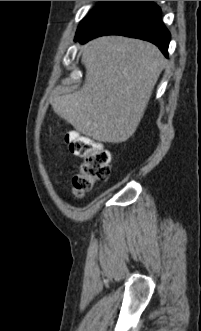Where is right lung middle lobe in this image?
<instances>
[{
    "mask_svg": "<svg viewBox=\"0 0 201 331\" xmlns=\"http://www.w3.org/2000/svg\"><path fill=\"white\" fill-rule=\"evenodd\" d=\"M116 1H101L94 10L79 24L76 36L85 32L96 22Z\"/></svg>",
    "mask_w": 201,
    "mask_h": 331,
    "instance_id": "1",
    "label": "right lung middle lobe"
}]
</instances>
